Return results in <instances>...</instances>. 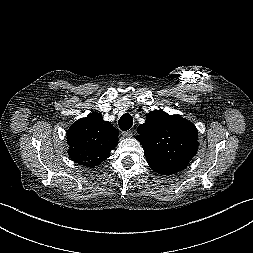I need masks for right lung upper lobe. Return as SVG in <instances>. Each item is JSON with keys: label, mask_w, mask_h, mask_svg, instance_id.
Instances as JSON below:
<instances>
[{"label": "right lung upper lobe", "mask_w": 253, "mask_h": 253, "mask_svg": "<svg viewBox=\"0 0 253 253\" xmlns=\"http://www.w3.org/2000/svg\"><path fill=\"white\" fill-rule=\"evenodd\" d=\"M118 131L101 113L92 112L67 131L68 155L78 164L94 168L110 156L118 144Z\"/></svg>", "instance_id": "obj_1"}]
</instances>
